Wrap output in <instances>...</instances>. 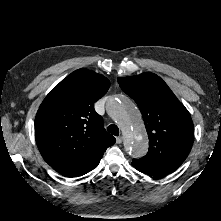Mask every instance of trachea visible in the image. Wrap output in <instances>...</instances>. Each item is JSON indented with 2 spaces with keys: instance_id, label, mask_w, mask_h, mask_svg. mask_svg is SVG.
Returning a JSON list of instances; mask_svg holds the SVG:
<instances>
[{
  "instance_id": "3493384b",
  "label": "trachea",
  "mask_w": 221,
  "mask_h": 221,
  "mask_svg": "<svg viewBox=\"0 0 221 221\" xmlns=\"http://www.w3.org/2000/svg\"><path fill=\"white\" fill-rule=\"evenodd\" d=\"M107 131L115 136L119 135V128L114 124L109 125Z\"/></svg>"
}]
</instances>
